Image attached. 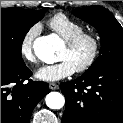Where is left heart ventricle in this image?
I'll return each mask as SVG.
<instances>
[{"mask_svg":"<svg viewBox=\"0 0 123 123\" xmlns=\"http://www.w3.org/2000/svg\"><path fill=\"white\" fill-rule=\"evenodd\" d=\"M91 53V43L88 40L80 42L75 48L68 49L64 46L58 56L59 60H68L77 68L89 58Z\"/></svg>","mask_w":123,"mask_h":123,"instance_id":"b2bd125f","label":"left heart ventricle"}]
</instances>
